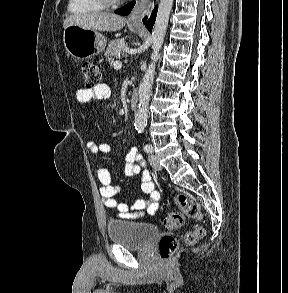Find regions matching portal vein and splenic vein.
Instances as JSON below:
<instances>
[{
    "mask_svg": "<svg viewBox=\"0 0 288 293\" xmlns=\"http://www.w3.org/2000/svg\"><path fill=\"white\" fill-rule=\"evenodd\" d=\"M113 67H114V69H120L122 67V63L119 61H115L113 63Z\"/></svg>",
    "mask_w": 288,
    "mask_h": 293,
    "instance_id": "obj_1",
    "label": "portal vein and splenic vein"
}]
</instances>
